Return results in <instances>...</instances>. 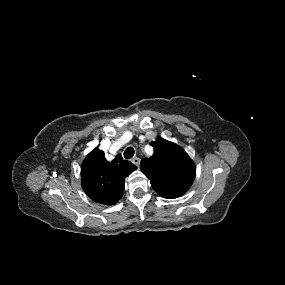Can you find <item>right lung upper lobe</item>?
<instances>
[{"label":"right lung upper lobe","instance_id":"obj_1","mask_svg":"<svg viewBox=\"0 0 285 285\" xmlns=\"http://www.w3.org/2000/svg\"><path fill=\"white\" fill-rule=\"evenodd\" d=\"M136 169L134 164L119 154L108 162L104 152L95 148L81 165V185L95 202L113 205L123 196L125 178Z\"/></svg>","mask_w":285,"mask_h":285}]
</instances>
